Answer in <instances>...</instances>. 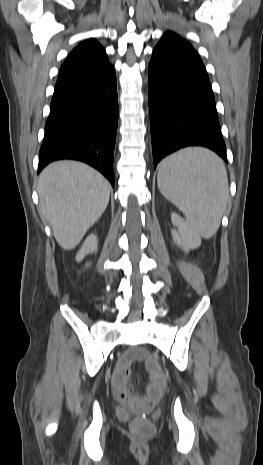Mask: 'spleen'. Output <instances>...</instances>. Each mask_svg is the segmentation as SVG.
<instances>
[{
    "instance_id": "3e777b00",
    "label": "spleen",
    "mask_w": 263,
    "mask_h": 465,
    "mask_svg": "<svg viewBox=\"0 0 263 465\" xmlns=\"http://www.w3.org/2000/svg\"><path fill=\"white\" fill-rule=\"evenodd\" d=\"M158 188L199 236L210 238L217 232L229 187L224 163L215 153L187 148L166 157L159 165Z\"/></svg>"
}]
</instances>
